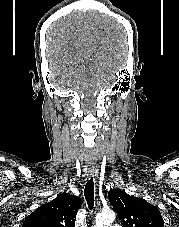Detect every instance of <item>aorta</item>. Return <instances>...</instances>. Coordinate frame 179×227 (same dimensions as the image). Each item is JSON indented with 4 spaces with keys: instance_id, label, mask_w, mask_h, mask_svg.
Wrapping results in <instances>:
<instances>
[{
    "instance_id": "762f6f07",
    "label": "aorta",
    "mask_w": 179,
    "mask_h": 227,
    "mask_svg": "<svg viewBox=\"0 0 179 227\" xmlns=\"http://www.w3.org/2000/svg\"><path fill=\"white\" fill-rule=\"evenodd\" d=\"M115 219V213L112 210H104L96 215L94 227H109Z\"/></svg>"
}]
</instances>
